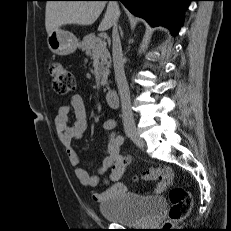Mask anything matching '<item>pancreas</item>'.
<instances>
[{"mask_svg": "<svg viewBox=\"0 0 231 231\" xmlns=\"http://www.w3.org/2000/svg\"><path fill=\"white\" fill-rule=\"evenodd\" d=\"M100 40L94 34L85 36L82 42L79 44V48L85 52L87 56L92 59L99 57L101 59L99 63V69L101 74V85H107V77L109 75V68L111 66V59L109 51L106 49L99 48Z\"/></svg>", "mask_w": 231, "mask_h": 231, "instance_id": "pancreas-1", "label": "pancreas"}]
</instances>
